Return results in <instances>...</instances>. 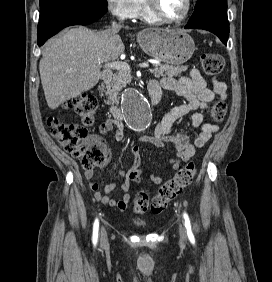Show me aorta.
Here are the masks:
<instances>
[{
  "mask_svg": "<svg viewBox=\"0 0 272 282\" xmlns=\"http://www.w3.org/2000/svg\"><path fill=\"white\" fill-rule=\"evenodd\" d=\"M127 123L135 130H146L152 119L150 105L144 95L135 88L127 90L123 101Z\"/></svg>",
  "mask_w": 272,
  "mask_h": 282,
  "instance_id": "obj_1",
  "label": "aorta"
}]
</instances>
